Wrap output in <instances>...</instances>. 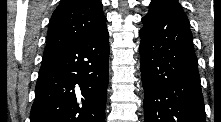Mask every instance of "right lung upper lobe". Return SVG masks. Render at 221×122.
Wrapping results in <instances>:
<instances>
[{
	"label": "right lung upper lobe",
	"mask_w": 221,
	"mask_h": 122,
	"mask_svg": "<svg viewBox=\"0 0 221 122\" xmlns=\"http://www.w3.org/2000/svg\"><path fill=\"white\" fill-rule=\"evenodd\" d=\"M106 26L99 0H63L51 17L44 56L72 45Z\"/></svg>",
	"instance_id": "cb5924a9"
}]
</instances>
